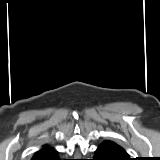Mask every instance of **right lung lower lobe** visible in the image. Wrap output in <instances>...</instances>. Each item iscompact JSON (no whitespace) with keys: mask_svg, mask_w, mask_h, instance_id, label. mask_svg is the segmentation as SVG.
Wrapping results in <instances>:
<instances>
[{"mask_svg":"<svg viewBox=\"0 0 160 160\" xmlns=\"http://www.w3.org/2000/svg\"><path fill=\"white\" fill-rule=\"evenodd\" d=\"M32 160H60L57 151L50 147L42 152L35 154Z\"/></svg>","mask_w":160,"mask_h":160,"instance_id":"obj_1","label":"right lung lower lobe"}]
</instances>
